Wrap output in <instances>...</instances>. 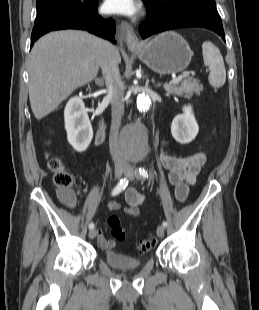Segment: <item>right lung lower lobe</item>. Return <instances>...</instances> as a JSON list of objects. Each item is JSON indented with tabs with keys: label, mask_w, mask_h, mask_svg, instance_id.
Masks as SVG:
<instances>
[{
	"label": "right lung lower lobe",
	"mask_w": 259,
	"mask_h": 310,
	"mask_svg": "<svg viewBox=\"0 0 259 310\" xmlns=\"http://www.w3.org/2000/svg\"><path fill=\"white\" fill-rule=\"evenodd\" d=\"M98 1L85 2L82 8L72 11L50 12L35 19L31 35V46L42 35L60 29H82L115 43V22L98 16Z\"/></svg>",
	"instance_id": "1"
}]
</instances>
